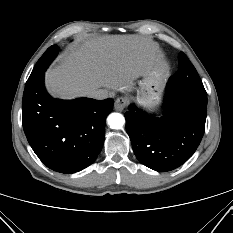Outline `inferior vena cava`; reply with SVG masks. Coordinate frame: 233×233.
<instances>
[{
  "instance_id": "inferior-vena-cava-1",
  "label": "inferior vena cava",
  "mask_w": 233,
  "mask_h": 233,
  "mask_svg": "<svg viewBox=\"0 0 233 233\" xmlns=\"http://www.w3.org/2000/svg\"><path fill=\"white\" fill-rule=\"evenodd\" d=\"M91 97L98 100L106 99L108 97V91L106 89H97L91 93Z\"/></svg>"
}]
</instances>
